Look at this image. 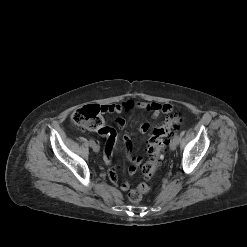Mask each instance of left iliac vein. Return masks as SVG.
Masks as SVG:
<instances>
[{"label": "left iliac vein", "instance_id": "obj_1", "mask_svg": "<svg viewBox=\"0 0 247 247\" xmlns=\"http://www.w3.org/2000/svg\"><path fill=\"white\" fill-rule=\"evenodd\" d=\"M177 144H178V142L175 140V138H173V139L171 140V142H170V149H171L172 151H174V150L176 149V147H177Z\"/></svg>", "mask_w": 247, "mask_h": 247}]
</instances>
